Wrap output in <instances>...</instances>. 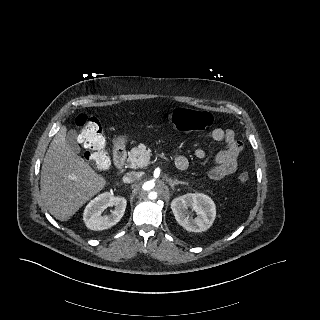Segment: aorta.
<instances>
[{
    "mask_svg": "<svg viewBox=\"0 0 320 320\" xmlns=\"http://www.w3.org/2000/svg\"><path fill=\"white\" fill-rule=\"evenodd\" d=\"M163 182L160 179H148L141 185V194L147 201H155L161 195Z\"/></svg>",
    "mask_w": 320,
    "mask_h": 320,
    "instance_id": "1",
    "label": "aorta"
}]
</instances>
